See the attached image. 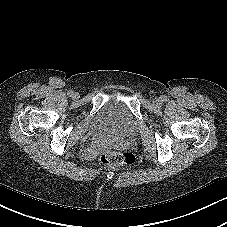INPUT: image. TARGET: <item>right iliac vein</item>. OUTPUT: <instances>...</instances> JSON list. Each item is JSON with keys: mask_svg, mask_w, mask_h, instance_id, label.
Returning <instances> with one entry per match:
<instances>
[{"mask_svg": "<svg viewBox=\"0 0 227 227\" xmlns=\"http://www.w3.org/2000/svg\"><path fill=\"white\" fill-rule=\"evenodd\" d=\"M72 98L75 99V100H77L79 98V94L78 93H74L72 95Z\"/></svg>", "mask_w": 227, "mask_h": 227, "instance_id": "63e3f726", "label": "right iliac vein"}]
</instances>
